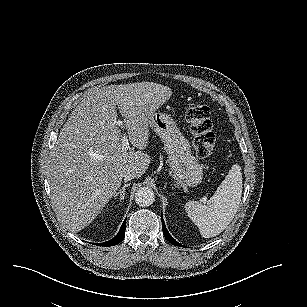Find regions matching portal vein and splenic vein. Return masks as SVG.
Masks as SVG:
<instances>
[{
    "label": "portal vein and splenic vein",
    "mask_w": 307,
    "mask_h": 307,
    "mask_svg": "<svg viewBox=\"0 0 307 307\" xmlns=\"http://www.w3.org/2000/svg\"><path fill=\"white\" fill-rule=\"evenodd\" d=\"M119 123L122 125V121H119ZM122 141V151L123 152H126L127 150L130 149V144H129V140H128V137L126 135H124L121 139Z\"/></svg>",
    "instance_id": "1"
}]
</instances>
